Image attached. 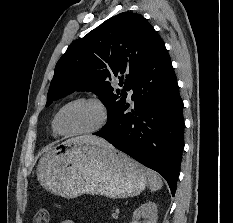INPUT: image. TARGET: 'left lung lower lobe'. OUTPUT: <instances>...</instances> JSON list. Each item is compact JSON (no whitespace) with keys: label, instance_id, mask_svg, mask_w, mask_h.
<instances>
[{"label":"left lung lower lobe","instance_id":"1","mask_svg":"<svg viewBox=\"0 0 233 223\" xmlns=\"http://www.w3.org/2000/svg\"><path fill=\"white\" fill-rule=\"evenodd\" d=\"M134 101L94 135L160 173L174 196L184 146L183 102L161 38L132 87Z\"/></svg>","mask_w":233,"mask_h":223}]
</instances>
